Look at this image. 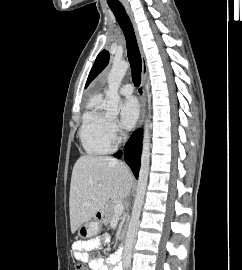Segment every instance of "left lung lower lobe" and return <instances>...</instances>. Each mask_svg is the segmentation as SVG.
<instances>
[{"mask_svg":"<svg viewBox=\"0 0 242 270\" xmlns=\"http://www.w3.org/2000/svg\"><path fill=\"white\" fill-rule=\"evenodd\" d=\"M120 155H121V152H118V153H116L114 156H115V157H120Z\"/></svg>","mask_w":242,"mask_h":270,"instance_id":"0a47b994","label":"left lung lower lobe"}]
</instances>
